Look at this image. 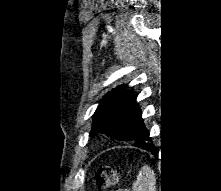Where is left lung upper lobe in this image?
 I'll return each mask as SVG.
<instances>
[{
	"label": "left lung upper lobe",
	"instance_id": "5c2ea615",
	"mask_svg": "<svg viewBox=\"0 0 221 191\" xmlns=\"http://www.w3.org/2000/svg\"><path fill=\"white\" fill-rule=\"evenodd\" d=\"M125 87L128 86L121 85L112 89L100 100L93 115L90 135L104 132L120 141L132 140L133 146L140 148H144L146 145L150 146L152 139L143 135L142 127H137L132 118L131 97L133 90Z\"/></svg>",
	"mask_w": 221,
	"mask_h": 191
}]
</instances>
